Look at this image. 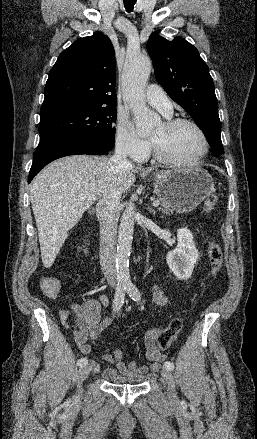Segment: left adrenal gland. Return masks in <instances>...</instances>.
I'll return each instance as SVG.
<instances>
[{
  "label": "left adrenal gland",
  "mask_w": 257,
  "mask_h": 439,
  "mask_svg": "<svg viewBox=\"0 0 257 439\" xmlns=\"http://www.w3.org/2000/svg\"><path fill=\"white\" fill-rule=\"evenodd\" d=\"M148 211L150 212V213H152L153 215H155V210H153V209H151L150 207H148Z\"/></svg>",
  "instance_id": "a2214340"
}]
</instances>
